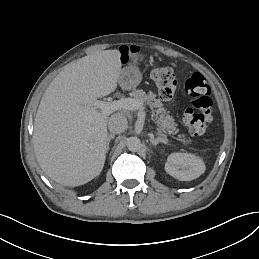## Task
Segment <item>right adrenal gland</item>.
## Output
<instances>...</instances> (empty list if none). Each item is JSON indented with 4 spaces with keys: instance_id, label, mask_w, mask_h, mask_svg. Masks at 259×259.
I'll list each match as a JSON object with an SVG mask.
<instances>
[{
    "instance_id": "2a0ac1e0",
    "label": "right adrenal gland",
    "mask_w": 259,
    "mask_h": 259,
    "mask_svg": "<svg viewBox=\"0 0 259 259\" xmlns=\"http://www.w3.org/2000/svg\"><path fill=\"white\" fill-rule=\"evenodd\" d=\"M113 138H114V135H113V134H108V135H107V144H106L107 151L109 150L110 141H111V139H113Z\"/></svg>"
}]
</instances>
